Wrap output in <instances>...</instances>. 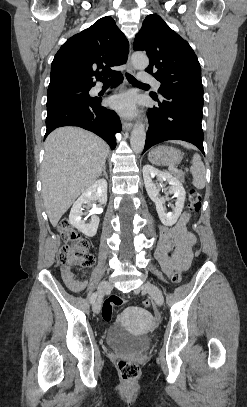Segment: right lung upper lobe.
<instances>
[{
	"instance_id": "right-lung-upper-lobe-1",
	"label": "right lung upper lobe",
	"mask_w": 247,
	"mask_h": 407,
	"mask_svg": "<svg viewBox=\"0 0 247 407\" xmlns=\"http://www.w3.org/2000/svg\"><path fill=\"white\" fill-rule=\"evenodd\" d=\"M128 49L129 43L112 17L97 20L68 39L56 53L48 90L67 86L93 87L94 76L101 81L108 74L116 73L110 66L124 64Z\"/></svg>"
}]
</instances>
